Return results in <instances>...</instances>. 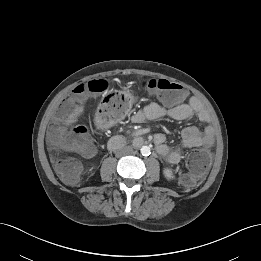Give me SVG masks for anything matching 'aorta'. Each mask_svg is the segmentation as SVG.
Wrapping results in <instances>:
<instances>
[{
  "mask_svg": "<svg viewBox=\"0 0 261 261\" xmlns=\"http://www.w3.org/2000/svg\"><path fill=\"white\" fill-rule=\"evenodd\" d=\"M140 152L143 156H148V155H150V147L142 146L140 149Z\"/></svg>",
  "mask_w": 261,
  "mask_h": 261,
  "instance_id": "1",
  "label": "aorta"
}]
</instances>
